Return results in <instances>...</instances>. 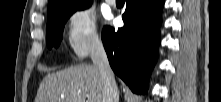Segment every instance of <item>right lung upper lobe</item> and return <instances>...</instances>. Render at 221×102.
Returning a JSON list of instances; mask_svg holds the SVG:
<instances>
[{
	"mask_svg": "<svg viewBox=\"0 0 221 102\" xmlns=\"http://www.w3.org/2000/svg\"><path fill=\"white\" fill-rule=\"evenodd\" d=\"M90 2H92V0H49L47 18L50 19L59 11L79 7Z\"/></svg>",
	"mask_w": 221,
	"mask_h": 102,
	"instance_id": "1",
	"label": "right lung upper lobe"
}]
</instances>
